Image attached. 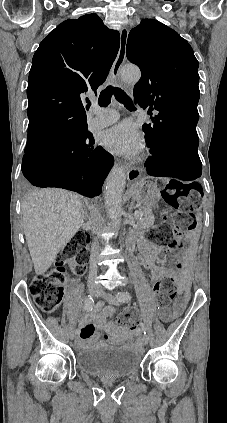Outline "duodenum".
<instances>
[{
    "label": "duodenum",
    "instance_id": "duodenum-1",
    "mask_svg": "<svg viewBox=\"0 0 227 423\" xmlns=\"http://www.w3.org/2000/svg\"><path fill=\"white\" fill-rule=\"evenodd\" d=\"M148 241L147 240H143L141 243H140V245L138 246V251H139V253H142V255H143V253L145 252V250H146V243H147Z\"/></svg>",
    "mask_w": 227,
    "mask_h": 423
}]
</instances>
